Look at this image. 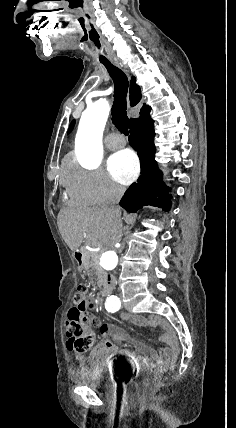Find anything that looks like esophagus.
<instances>
[{"mask_svg": "<svg viewBox=\"0 0 236 428\" xmlns=\"http://www.w3.org/2000/svg\"><path fill=\"white\" fill-rule=\"evenodd\" d=\"M115 65H117L119 68H121V70H123V72H125L127 75H129L128 73V67L125 66L124 64L120 63V62H114Z\"/></svg>", "mask_w": 236, "mask_h": 428, "instance_id": "esophagus-1", "label": "esophagus"}]
</instances>
